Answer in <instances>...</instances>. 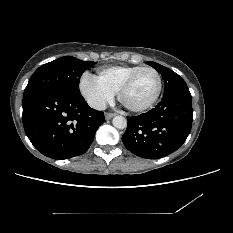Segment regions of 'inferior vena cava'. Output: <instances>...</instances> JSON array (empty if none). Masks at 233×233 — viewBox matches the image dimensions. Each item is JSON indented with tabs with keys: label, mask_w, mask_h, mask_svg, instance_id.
<instances>
[{
	"label": "inferior vena cava",
	"mask_w": 233,
	"mask_h": 233,
	"mask_svg": "<svg viewBox=\"0 0 233 233\" xmlns=\"http://www.w3.org/2000/svg\"><path fill=\"white\" fill-rule=\"evenodd\" d=\"M90 107L96 109V110H105L106 109V103L101 100H95L89 102Z\"/></svg>",
	"instance_id": "inferior-vena-cava-1"
}]
</instances>
